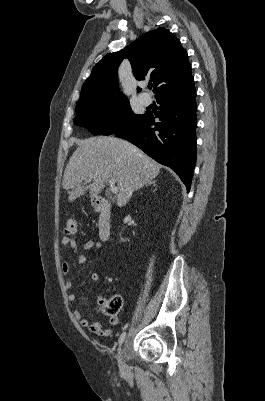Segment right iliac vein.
Segmentation results:
<instances>
[{
    "label": "right iliac vein",
    "mask_w": 265,
    "mask_h": 401,
    "mask_svg": "<svg viewBox=\"0 0 265 401\" xmlns=\"http://www.w3.org/2000/svg\"><path fill=\"white\" fill-rule=\"evenodd\" d=\"M117 363H118V367L120 369V371L122 373L126 372L129 370L128 365L126 363V359L125 356L123 354L122 349L120 348L118 351V355H117Z\"/></svg>",
    "instance_id": "1"
}]
</instances>
